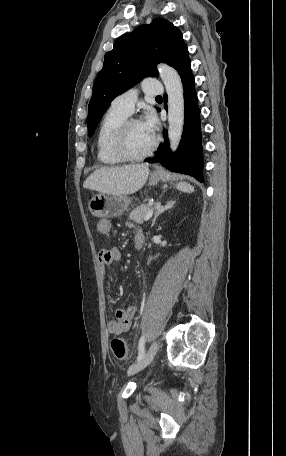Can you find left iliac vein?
<instances>
[{"label": "left iliac vein", "instance_id": "4c4485c4", "mask_svg": "<svg viewBox=\"0 0 286 456\" xmlns=\"http://www.w3.org/2000/svg\"><path fill=\"white\" fill-rule=\"evenodd\" d=\"M158 351V343L157 341H154L151 346L149 347L147 353L144 355V357L139 360L137 363L131 365L128 370L127 374L128 376L134 375L138 373L139 371L143 370L145 367H147L152 360L154 359L156 353Z\"/></svg>", "mask_w": 286, "mask_h": 456}]
</instances>
